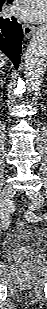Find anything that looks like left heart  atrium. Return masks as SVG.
I'll return each mask as SVG.
<instances>
[{
  "mask_svg": "<svg viewBox=\"0 0 47 309\" xmlns=\"http://www.w3.org/2000/svg\"><path fill=\"white\" fill-rule=\"evenodd\" d=\"M13 11L23 20L41 21L46 15V5L44 0H17Z\"/></svg>",
  "mask_w": 47,
  "mask_h": 309,
  "instance_id": "39dd6f15",
  "label": "left heart atrium"
}]
</instances>
